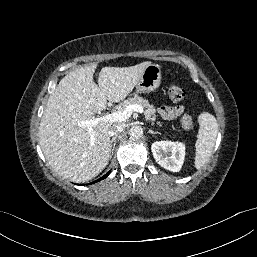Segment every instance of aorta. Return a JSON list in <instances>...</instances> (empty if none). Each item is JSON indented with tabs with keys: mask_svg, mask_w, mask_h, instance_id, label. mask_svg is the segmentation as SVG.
I'll return each mask as SVG.
<instances>
[{
	"mask_svg": "<svg viewBox=\"0 0 257 257\" xmlns=\"http://www.w3.org/2000/svg\"><path fill=\"white\" fill-rule=\"evenodd\" d=\"M129 135L131 138L133 139H138L141 138L143 135V129L141 126L138 125H134L131 127L130 131H129Z\"/></svg>",
	"mask_w": 257,
	"mask_h": 257,
	"instance_id": "762f6f07",
	"label": "aorta"
}]
</instances>
